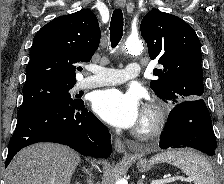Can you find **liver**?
<instances>
[{
  "label": "liver",
  "instance_id": "1",
  "mask_svg": "<svg viewBox=\"0 0 224 184\" xmlns=\"http://www.w3.org/2000/svg\"><path fill=\"white\" fill-rule=\"evenodd\" d=\"M79 162L69 147L37 143L15 155L7 168V184H70Z\"/></svg>",
  "mask_w": 224,
  "mask_h": 184
}]
</instances>
